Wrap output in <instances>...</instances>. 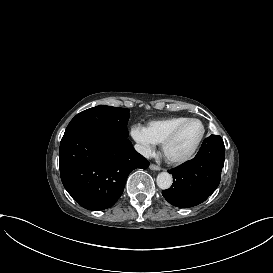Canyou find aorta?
Here are the masks:
<instances>
[{"label":"aorta","instance_id":"762f6f07","mask_svg":"<svg viewBox=\"0 0 273 273\" xmlns=\"http://www.w3.org/2000/svg\"><path fill=\"white\" fill-rule=\"evenodd\" d=\"M157 186L160 189L166 190L169 189L173 183L172 181V175L168 172H161L157 176Z\"/></svg>","mask_w":273,"mask_h":273}]
</instances>
